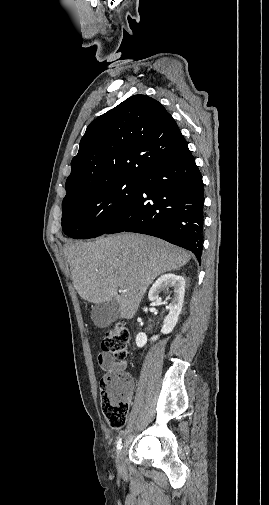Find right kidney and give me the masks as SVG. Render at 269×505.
Returning a JSON list of instances; mask_svg holds the SVG:
<instances>
[{
	"label": "right kidney",
	"mask_w": 269,
	"mask_h": 505,
	"mask_svg": "<svg viewBox=\"0 0 269 505\" xmlns=\"http://www.w3.org/2000/svg\"><path fill=\"white\" fill-rule=\"evenodd\" d=\"M169 288L173 289L171 291L173 293V298L168 306L169 314L165 317L164 324L161 329V333L163 334H169L172 332L178 322L184 301L185 280L182 276L173 273L164 274L155 281L148 294L150 301L160 302V292L162 290L168 292ZM144 311L147 312V308H144ZM157 339V335L151 338L152 341H155ZM135 341L137 347H143L147 343L146 334L143 332L138 333Z\"/></svg>",
	"instance_id": "right-kidney-1"
}]
</instances>
